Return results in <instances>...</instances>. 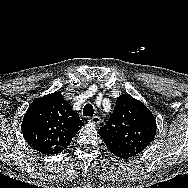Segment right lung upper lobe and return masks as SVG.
<instances>
[{
	"instance_id": "1",
	"label": "right lung upper lobe",
	"mask_w": 188,
	"mask_h": 188,
	"mask_svg": "<svg viewBox=\"0 0 188 188\" xmlns=\"http://www.w3.org/2000/svg\"><path fill=\"white\" fill-rule=\"evenodd\" d=\"M83 126L79 115L54 92L34 100L25 113L21 130L26 142L42 154L62 152Z\"/></svg>"
}]
</instances>
